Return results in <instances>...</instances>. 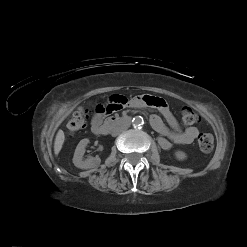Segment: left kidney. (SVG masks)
I'll list each match as a JSON object with an SVG mask.
<instances>
[{"label": "left kidney", "instance_id": "obj_1", "mask_svg": "<svg viewBox=\"0 0 247 247\" xmlns=\"http://www.w3.org/2000/svg\"><path fill=\"white\" fill-rule=\"evenodd\" d=\"M175 157L179 161H183V160L187 159L186 153L183 151H180V150L175 152Z\"/></svg>", "mask_w": 247, "mask_h": 247}]
</instances>
